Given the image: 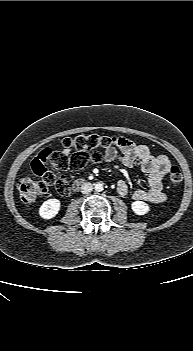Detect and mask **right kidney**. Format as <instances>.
I'll list each match as a JSON object with an SVG mask.
<instances>
[{"instance_id":"right-kidney-1","label":"right kidney","mask_w":193,"mask_h":351,"mask_svg":"<svg viewBox=\"0 0 193 351\" xmlns=\"http://www.w3.org/2000/svg\"><path fill=\"white\" fill-rule=\"evenodd\" d=\"M60 205L61 203L58 199H48L41 205L39 215L43 219H51L58 214Z\"/></svg>"}]
</instances>
